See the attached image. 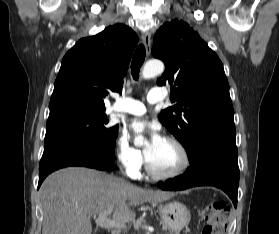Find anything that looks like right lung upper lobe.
<instances>
[{
  "instance_id": "1",
  "label": "right lung upper lobe",
  "mask_w": 279,
  "mask_h": 234,
  "mask_svg": "<svg viewBox=\"0 0 279 234\" xmlns=\"http://www.w3.org/2000/svg\"><path fill=\"white\" fill-rule=\"evenodd\" d=\"M137 42L136 33L123 24L80 39L62 60L50 111L66 107L105 110L108 91L122 90Z\"/></svg>"
}]
</instances>
